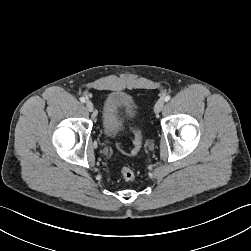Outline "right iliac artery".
<instances>
[{"label":"right iliac artery","mask_w":251,"mask_h":251,"mask_svg":"<svg viewBox=\"0 0 251 251\" xmlns=\"http://www.w3.org/2000/svg\"><path fill=\"white\" fill-rule=\"evenodd\" d=\"M80 101H81L82 103H84V102H86V99H85L84 97H81V98H80Z\"/></svg>","instance_id":"1"}]
</instances>
